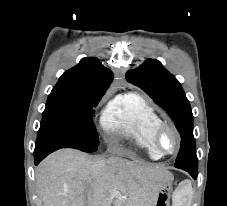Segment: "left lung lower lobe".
I'll return each mask as SVG.
<instances>
[{"label":"left lung lower lobe","mask_w":227,"mask_h":206,"mask_svg":"<svg viewBox=\"0 0 227 206\" xmlns=\"http://www.w3.org/2000/svg\"><path fill=\"white\" fill-rule=\"evenodd\" d=\"M181 169L189 172V174L194 178L196 179L197 178V173H198V170H197V167H180Z\"/></svg>","instance_id":"obj_1"}]
</instances>
